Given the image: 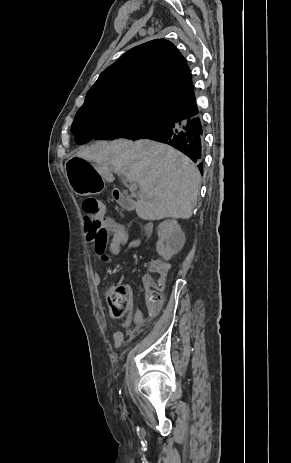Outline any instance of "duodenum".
<instances>
[{
    "instance_id": "duodenum-1",
    "label": "duodenum",
    "mask_w": 291,
    "mask_h": 463,
    "mask_svg": "<svg viewBox=\"0 0 291 463\" xmlns=\"http://www.w3.org/2000/svg\"><path fill=\"white\" fill-rule=\"evenodd\" d=\"M113 198L125 209L131 210L133 207L132 199L122 190L115 189L113 190ZM146 233L151 231V224H147L145 228Z\"/></svg>"
}]
</instances>
